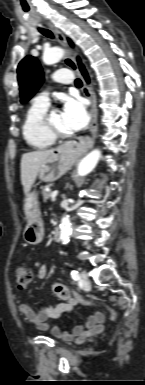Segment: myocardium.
<instances>
[{
  "instance_id": "myocardium-1",
  "label": "myocardium",
  "mask_w": 145,
  "mask_h": 385,
  "mask_svg": "<svg viewBox=\"0 0 145 385\" xmlns=\"http://www.w3.org/2000/svg\"><path fill=\"white\" fill-rule=\"evenodd\" d=\"M57 111L56 109H51L50 111H48L44 118H43V128L44 130L47 132V134L52 137L54 140H58V139H67V138H70L72 136V134H66V133H62V132H59L58 130H56L53 125L51 124V115L53 114V112Z\"/></svg>"
}]
</instances>
